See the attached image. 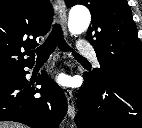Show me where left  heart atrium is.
<instances>
[{
  "instance_id": "1",
  "label": "left heart atrium",
  "mask_w": 142,
  "mask_h": 128,
  "mask_svg": "<svg viewBox=\"0 0 142 128\" xmlns=\"http://www.w3.org/2000/svg\"><path fill=\"white\" fill-rule=\"evenodd\" d=\"M59 81H60V82H62V81H63V79H62V78H60V79H59Z\"/></svg>"
}]
</instances>
